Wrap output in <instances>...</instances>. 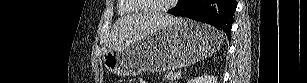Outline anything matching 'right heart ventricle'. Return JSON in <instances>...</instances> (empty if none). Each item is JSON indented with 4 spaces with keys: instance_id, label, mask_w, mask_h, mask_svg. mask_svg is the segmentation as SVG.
<instances>
[{
    "instance_id": "1",
    "label": "right heart ventricle",
    "mask_w": 307,
    "mask_h": 83,
    "mask_svg": "<svg viewBox=\"0 0 307 83\" xmlns=\"http://www.w3.org/2000/svg\"><path fill=\"white\" fill-rule=\"evenodd\" d=\"M119 14H132L141 12L131 1L121 0L118 6Z\"/></svg>"
}]
</instances>
